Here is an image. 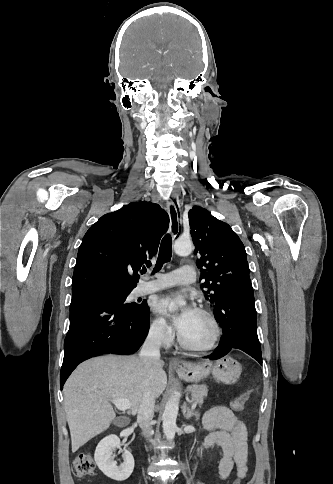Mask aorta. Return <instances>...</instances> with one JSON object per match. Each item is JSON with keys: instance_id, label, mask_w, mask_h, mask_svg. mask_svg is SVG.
I'll return each instance as SVG.
<instances>
[{"instance_id": "obj_1", "label": "aorta", "mask_w": 333, "mask_h": 484, "mask_svg": "<svg viewBox=\"0 0 333 484\" xmlns=\"http://www.w3.org/2000/svg\"><path fill=\"white\" fill-rule=\"evenodd\" d=\"M173 248L177 255L186 256L192 252L193 245L190 240L177 239L173 245ZM185 305H186V302L183 299H179L177 301V306L175 307V310H177L178 307L181 308V307H184ZM178 410H179V397L177 394H175L167 402L162 416L163 432L166 438L169 440H173L175 437V433L177 429L176 418H177Z\"/></svg>"}]
</instances>
